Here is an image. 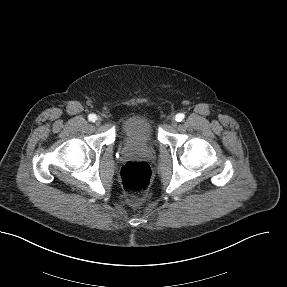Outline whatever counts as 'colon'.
I'll use <instances>...</instances> for the list:
<instances>
[{"mask_svg":"<svg viewBox=\"0 0 287 287\" xmlns=\"http://www.w3.org/2000/svg\"><path fill=\"white\" fill-rule=\"evenodd\" d=\"M151 176V168L145 162L131 161L122 166L121 184L130 202L137 203L145 197Z\"/></svg>","mask_w":287,"mask_h":287,"instance_id":"1","label":"colon"}]
</instances>
